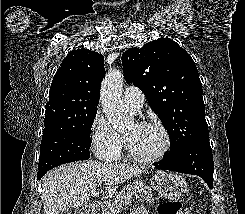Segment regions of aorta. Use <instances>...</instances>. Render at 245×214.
Masks as SVG:
<instances>
[{
	"label": "aorta",
	"mask_w": 245,
	"mask_h": 214,
	"mask_svg": "<svg viewBox=\"0 0 245 214\" xmlns=\"http://www.w3.org/2000/svg\"><path fill=\"white\" fill-rule=\"evenodd\" d=\"M123 82V73L113 69L103 79L100 90V103L103 113L116 129L124 128L133 119L123 105Z\"/></svg>",
	"instance_id": "obj_1"
}]
</instances>
